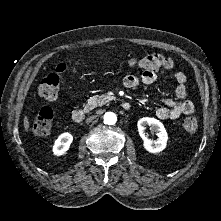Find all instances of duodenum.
<instances>
[{
    "label": "duodenum",
    "instance_id": "obj_1",
    "mask_svg": "<svg viewBox=\"0 0 221 221\" xmlns=\"http://www.w3.org/2000/svg\"><path fill=\"white\" fill-rule=\"evenodd\" d=\"M122 108L124 110H129L131 108V105L129 102L124 101L122 103ZM88 114L89 110L86 107H82L73 111L72 118L75 122H82Z\"/></svg>",
    "mask_w": 221,
    "mask_h": 221
}]
</instances>
